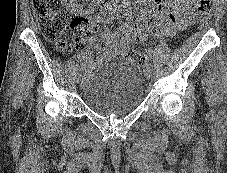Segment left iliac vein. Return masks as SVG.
I'll use <instances>...</instances> for the list:
<instances>
[{
	"label": "left iliac vein",
	"mask_w": 227,
	"mask_h": 173,
	"mask_svg": "<svg viewBox=\"0 0 227 173\" xmlns=\"http://www.w3.org/2000/svg\"><path fill=\"white\" fill-rule=\"evenodd\" d=\"M143 73H144L145 78L150 79L152 76V69L145 67L143 70Z\"/></svg>",
	"instance_id": "4c4485c4"
}]
</instances>
